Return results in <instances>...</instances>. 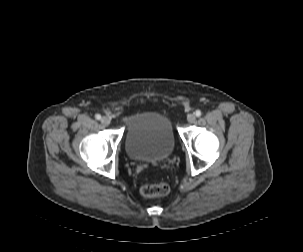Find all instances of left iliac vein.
<instances>
[{
    "label": "left iliac vein",
    "instance_id": "left-iliac-vein-1",
    "mask_svg": "<svg viewBox=\"0 0 303 252\" xmlns=\"http://www.w3.org/2000/svg\"><path fill=\"white\" fill-rule=\"evenodd\" d=\"M187 120L189 123H194L196 121V116L194 113H191L187 116Z\"/></svg>",
    "mask_w": 303,
    "mask_h": 252
}]
</instances>
